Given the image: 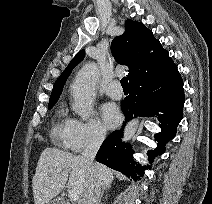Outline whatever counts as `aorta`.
I'll list each match as a JSON object with an SVG mask.
<instances>
[{
  "instance_id": "762f6f07",
  "label": "aorta",
  "mask_w": 212,
  "mask_h": 204,
  "mask_svg": "<svg viewBox=\"0 0 212 204\" xmlns=\"http://www.w3.org/2000/svg\"><path fill=\"white\" fill-rule=\"evenodd\" d=\"M99 80V70L96 63H88L83 66L71 87L74 104L73 110L83 119L90 117L95 97V87ZM138 127V121H130L124 130V140H130Z\"/></svg>"
}]
</instances>
